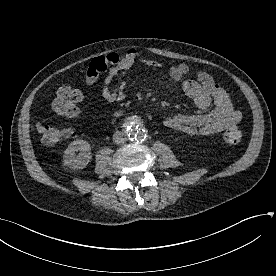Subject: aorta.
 <instances>
[{
    "mask_svg": "<svg viewBox=\"0 0 276 276\" xmlns=\"http://www.w3.org/2000/svg\"><path fill=\"white\" fill-rule=\"evenodd\" d=\"M126 133L130 139L137 142H142L147 136L146 130L136 122H131L127 128Z\"/></svg>",
    "mask_w": 276,
    "mask_h": 276,
    "instance_id": "1",
    "label": "aorta"
}]
</instances>
